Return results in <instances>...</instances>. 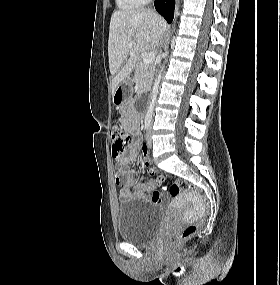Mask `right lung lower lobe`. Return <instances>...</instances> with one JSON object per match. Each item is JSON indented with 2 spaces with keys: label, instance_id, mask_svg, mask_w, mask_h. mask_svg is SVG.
Returning a JSON list of instances; mask_svg holds the SVG:
<instances>
[{
  "label": "right lung lower lobe",
  "instance_id": "1",
  "mask_svg": "<svg viewBox=\"0 0 280 285\" xmlns=\"http://www.w3.org/2000/svg\"><path fill=\"white\" fill-rule=\"evenodd\" d=\"M175 0H155L156 10L171 23L174 15Z\"/></svg>",
  "mask_w": 280,
  "mask_h": 285
}]
</instances>
